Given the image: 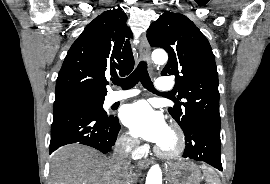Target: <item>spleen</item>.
<instances>
[{"mask_svg":"<svg viewBox=\"0 0 270 184\" xmlns=\"http://www.w3.org/2000/svg\"><path fill=\"white\" fill-rule=\"evenodd\" d=\"M203 174L206 178V181L208 184H221L220 179L218 176L214 173V171L211 168H207L206 166H202Z\"/></svg>","mask_w":270,"mask_h":184,"instance_id":"spleen-1","label":"spleen"}]
</instances>
